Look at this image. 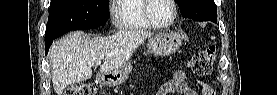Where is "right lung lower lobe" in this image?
Returning a JSON list of instances; mask_svg holds the SVG:
<instances>
[{
    "instance_id": "right-lung-lower-lobe-1",
    "label": "right lung lower lobe",
    "mask_w": 277,
    "mask_h": 95,
    "mask_svg": "<svg viewBox=\"0 0 277 95\" xmlns=\"http://www.w3.org/2000/svg\"><path fill=\"white\" fill-rule=\"evenodd\" d=\"M53 40H45V53L47 54L48 53V50L52 44Z\"/></svg>"
}]
</instances>
